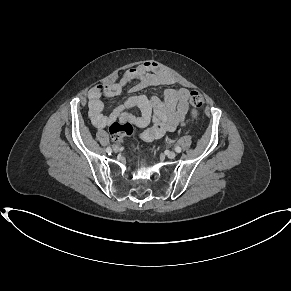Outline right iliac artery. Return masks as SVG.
<instances>
[{"label": "right iliac artery", "instance_id": "1", "mask_svg": "<svg viewBox=\"0 0 291 291\" xmlns=\"http://www.w3.org/2000/svg\"><path fill=\"white\" fill-rule=\"evenodd\" d=\"M106 151H107V153L111 154L112 149L108 147V148L106 149Z\"/></svg>", "mask_w": 291, "mask_h": 291}]
</instances>
